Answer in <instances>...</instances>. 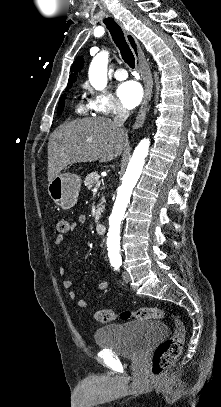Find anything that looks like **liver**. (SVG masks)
<instances>
[{
    "label": "liver",
    "mask_w": 221,
    "mask_h": 407,
    "mask_svg": "<svg viewBox=\"0 0 221 407\" xmlns=\"http://www.w3.org/2000/svg\"><path fill=\"white\" fill-rule=\"evenodd\" d=\"M127 145V132L109 118L64 123L52 133L48 143V182L70 164L111 161Z\"/></svg>",
    "instance_id": "1"
}]
</instances>
